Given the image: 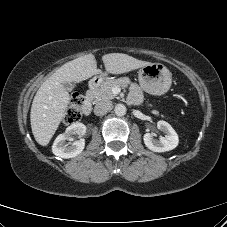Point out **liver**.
Wrapping results in <instances>:
<instances>
[{"instance_id":"6515ba94","label":"liver","mask_w":227,"mask_h":227,"mask_svg":"<svg viewBox=\"0 0 227 227\" xmlns=\"http://www.w3.org/2000/svg\"><path fill=\"white\" fill-rule=\"evenodd\" d=\"M102 61L111 74L127 73L150 64L123 53L105 54ZM100 73L94 55L87 54L65 63L40 86L30 114L32 133L37 143L48 145L65 115L70 97L63 84L80 83Z\"/></svg>"}]
</instances>
